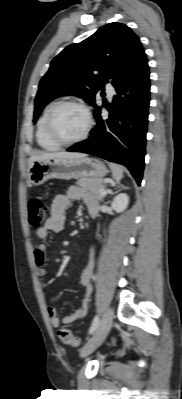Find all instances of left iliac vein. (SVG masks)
<instances>
[{"label": "left iliac vein", "instance_id": "1", "mask_svg": "<svg viewBox=\"0 0 182 399\" xmlns=\"http://www.w3.org/2000/svg\"><path fill=\"white\" fill-rule=\"evenodd\" d=\"M113 318V311L111 308H108L98 328L81 349L80 354L82 357L91 354L104 341L111 329Z\"/></svg>", "mask_w": 182, "mask_h": 399}]
</instances>
